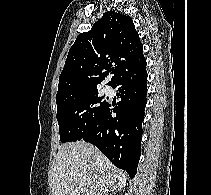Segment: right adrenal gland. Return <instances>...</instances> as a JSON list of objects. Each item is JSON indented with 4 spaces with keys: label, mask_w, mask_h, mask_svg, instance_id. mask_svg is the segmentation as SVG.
<instances>
[{
    "label": "right adrenal gland",
    "mask_w": 211,
    "mask_h": 195,
    "mask_svg": "<svg viewBox=\"0 0 211 195\" xmlns=\"http://www.w3.org/2000/svg\"><path fill=\"white\" fill-rule=\"evenodd\" d=\"M113 193V192H112ZM112 193H109L108 195H113Z\"/></svg>",
    "instance_id": "right-adrenal-gland-1"
}]
</instances>
